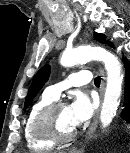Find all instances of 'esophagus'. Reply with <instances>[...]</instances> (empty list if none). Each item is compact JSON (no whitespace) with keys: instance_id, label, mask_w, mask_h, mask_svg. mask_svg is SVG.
Masks as SVG:
<instances>
[{"instance_id":"34e87169","label":"esophagus","mask_w":130,"mask_h":153,"mask_svg":"<svg viewBox=\"0 0 130 153\" xmlns=\"http://www.w3.org/2000/svg\"><path fill=\"white\" fill-rule=\"evenodd\" d=\"M86 35H88V33H86ZM99 72H100V75L102 77V82H101V89H100V98H101V105H102V101H103V96H104V91H105V85H106V75H105V71L102 67H99ZM101 105H100V108H101ZM100 108L98 109L97 113H96V116L94 118V121L92 122L86 136H85V141L88 140L91 135L93 134V132L95 131L96 127H97V124H98V119H99V112H100ZM77 149H72L70 151V153H77Z\"/></svg>"}]
</instances>
